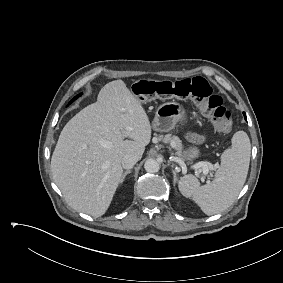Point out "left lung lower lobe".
Wrapping results in <instances>:
<instances>
[{
	"mask_svg": "<svg viewBox=\"0 0 283 283\" xmlns=\"http://www.w3.org/2000/svg\"><path fill=\"white\" fill-rule=\"evenodd\" d=\"M244 117H245V120L247 121L245 113H244Z\"/></svg>",
	"mask_w": 283,
	"mask_h": 283,
	"instance_id": "1",
	"label": "left lung lower lobe"
}]
</instances>
